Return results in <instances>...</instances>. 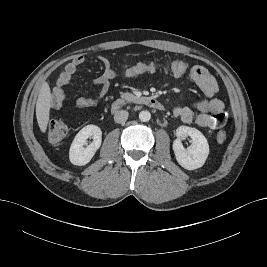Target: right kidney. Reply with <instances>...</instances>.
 Returning a JSON list of instances; mask_svg holds the SVG:
<instances>
[{
    "label": "right kidney",
    "mask_w": 267,
    "mask_h": 267,
    "mask_svg": "<svg viewBox=\"0 0 267 267\" xmlns=\"http://www.w3.org/2000/svg\"><path fill=\"white\" fill-rule=\"evenodd\" d=\"M92 138L93 142L88 145L87 139ZM102 142V131L96 125H87L75 136L70 150V162L77 166H83L90 162ZM86 146V147H85Z\"/></svg>",
    "instance_id": "ca27d5eb"
}]
</instances>
